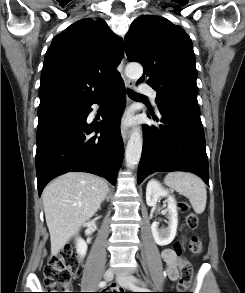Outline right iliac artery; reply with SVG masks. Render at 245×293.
I'll list each match as a JSON object with an SVG mask.
<instances>
[{
	"instance_id": "1",
	"label": "right iliac artery",
	"mask_w": 245,
	"mask_h": 293,
	"mask_svg": "<svg viewBox=\"0 0 245 293\" xmlns=\"http://www.w3.org/2000/svg\"><path fill=\"white\" fill-rule=\"evenodd\" d=\"M106 284H107L106 281H101V282L99 283V287H105Z\"/></svg>"
}]
</instances>
